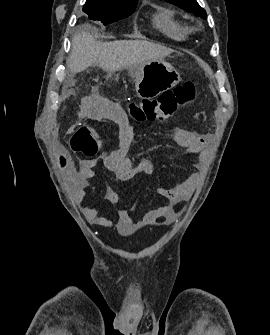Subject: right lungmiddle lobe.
Here are the masks:
<instances>
[{
    "label": "right lung middle lobe",
    "instance_id": "obj_1",
    "mask_svg": "<svg viewBox=\"0 0 270 335\" xmlns=\"http://www.w3.org/2000/svg\"><path fill=\"white\" fill-rule=\"evenodd\" d=\"M136 5L137 3L100 6L92 0H87L83 6V11L88 14L89 19L101 21L104 25H107L131 15L135 11Z\"/></svg>",
    "mask_w": 270,
    "mask_h": 335
}]
</instances>
